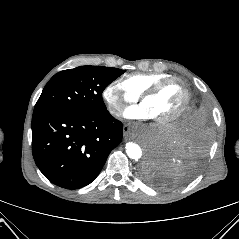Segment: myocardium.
Segmentation results:
<instances>
[{
  "instance_id": "1",
  "label": "myocardium",
  "mask_w": 239,
  "mask_h": 239,
  "mask_svg": "<svg viewBox=\"0 0 239 239\" xmlns=\"http://www.w3.org/2000/svg\"><path fill=\"white\" fill-rule=\"evenodd\" d=\"M171 83H178L182 87L184 91V101L180 109L177 112H175L173 115L166 117L164 119H156L155 121L158 124H167V123L173 122L179 119L186 112L191 99V93L189 88L181 79L176 77H169L153 84L141 94V101L143 102L146 98L156 95L160 90H162L165 86Z\"/></svg>"
}]
</instances>
